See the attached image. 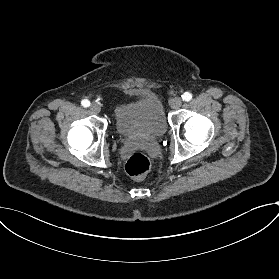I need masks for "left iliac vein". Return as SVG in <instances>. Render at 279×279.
<instances>
[{"label":"left iliac vein","instance_id":"1","mask_svg":"<svg viewBox=\"0 0 279 279\" xmlns=\"http://www.w3.org/2000/svg\"><path fill=\"white\" fill-rule=\"evenodd\" d=\"M181 105H182V99L180 97H174L170 101V106L173 109H179Z\"/></svg>","mask_w":279,"mask_h":279}]
</instances>
